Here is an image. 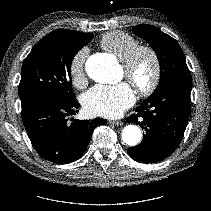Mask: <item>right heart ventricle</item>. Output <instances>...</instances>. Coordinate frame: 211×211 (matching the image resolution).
Returning a JSON list of instances; mask_svg holds the SVG:
<instances>
[{"mask_svg": "<svg viewBox=\"0 0 211 211\" xmlns=\"http://www.w3.org/2000/svg\"><path fill=\"white\" fill-rule=\"evenodd\" d=\"M138 45L139 40L122 31H112L104 34L100 46L108 53L123 61Z\"/></svg>", "mask_w": 211, "mask_h": 211, "instance_id": "obj_1", "label": "right heart ventricle"}]
</instances>
